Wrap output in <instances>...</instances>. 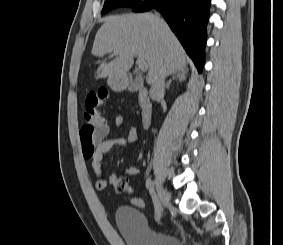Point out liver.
I'll return each mask as SVG.
<instances>
[{
    "mask_svg": "<svg viewBox=\"0 0 283 245\" xmlns=\"http://www.w3.org/2000/svg\"><path fill=\"white\" fill-rule=\"evenodd\" d=\"M94 56L114 52L117 57L101 63L96 78H123L133 58L148 65L146 81L152 85L160 72L174 74L186 69V55L176 36L152 13L125 14L106 18L97 31L92 47Z\"/></svg>",
    "mask_w": 283,
    "mask_h": 245,
    "instance_id": "liver-1",
    "label": "liver"
}]
</instances>
